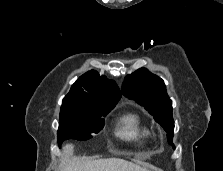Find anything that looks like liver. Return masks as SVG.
<instances>
[{"mask_svg":"<svg viewBox=\"0 0 223 171\" xmlns=\"http://www.w3.org/2000/svg\"><path fill=\"white\" fill-rule=\"evenodd\" d=\"M73 148L72 144L63 146L65 158L58 171H148L132 162L118 158L86 160L73 157Z\"/></svg>","mask_w":223,"mask_h":171,"instance_id":"obj_1","label":"liver"}]
</instances>
